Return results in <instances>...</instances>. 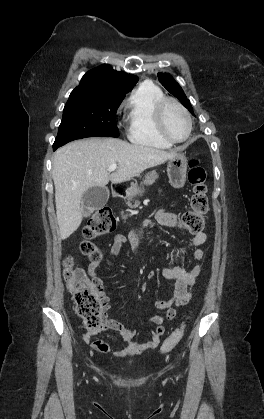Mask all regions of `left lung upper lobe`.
Wrapping results in <instances>:
<instances>
[{"mask_svg":"<svg viewBox=\"0 0 264 419\" xmlns=\"http://www.w3.org/2000/svg\"><path fill=\"white\" fill-rule=\"evenodd\" d=\"M158 78L160 83L175 97H177L182 103L183 105L192 113L193 112V108L190 104V101L187 99V97L185 96L182 88L180 87V85L168 74H163V73H159L158 74Z\"/></svg>","mask_w":264,"mask_h":419,"instance_id":"5c2ea615","label":"left lung upper lobe"}]
</instances>
